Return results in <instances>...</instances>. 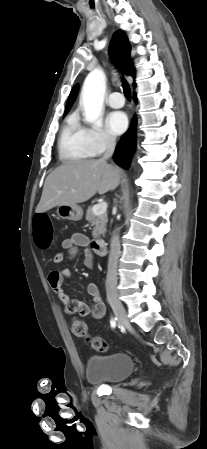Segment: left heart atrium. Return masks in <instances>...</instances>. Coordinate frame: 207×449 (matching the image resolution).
Returning <instances> with one entry per match:
<instances>
[{
    "label": "left heart atrium",
    "instance_id": "39dd6f15",
    "mask_svg": "<svg viewBox=\"0 0 207 449\" xmlns=\"http://www.w3.org/2000/svg\"><path fill=\"white\" fill-rule=\"evenodd\" d=\"M106 124L111 134L120 135L128 126V118L124 112H111L106 118Z\"/></svg>",
    "mask_w": 207,
    "mask_h": 449
}]
</instances>
